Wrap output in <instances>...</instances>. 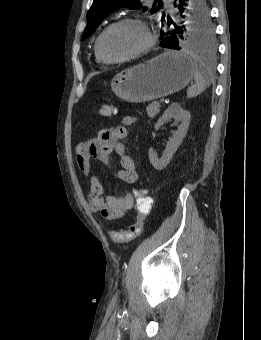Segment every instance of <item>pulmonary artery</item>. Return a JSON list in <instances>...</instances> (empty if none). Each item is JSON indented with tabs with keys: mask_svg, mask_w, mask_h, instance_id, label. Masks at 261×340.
Returning a JSON list of instances; mask_svg holds the SVG:
<instances>
[{
	"mask_svg": "<svg viewBox=\"0 0 261 340\" xmlns=\"http://www.w3.org/2000/svg\"><path fill=\"white\" fill-rule=\"evenodd\" d=\"M172 0H166L167 3H170Z\"/></svg>",
	"mask_w": 261,
	"mask_h": 340,
	"instance_id": "e3ab8cb5",
	"label": "pulmonary artery"
}]
</instances>
